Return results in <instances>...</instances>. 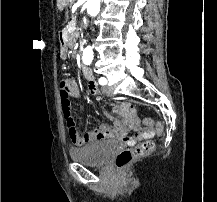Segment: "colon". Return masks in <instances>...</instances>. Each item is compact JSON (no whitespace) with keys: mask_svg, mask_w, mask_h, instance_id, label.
Listing matches in <instances>:
<instances>
[{"mask_svg":"<svg viewBox=\"0 0 217 202\" xmlns=\"http://www.w3.org/2000/svg\"><path fill=\"white\" fill-rule=\"evenodd\" d=\"M71 87L72 84L68 81L60 83V91L57 95L60 96L61 107L67 131H76L74 119L71 111ZM151 118H143L144 126H151ZM157 134H164L163 124H156ZM153 142L150 138H145L144 143H140L135 148H126L122 150L115 158V163L118 168H123L136 158L148 155L153 150Z\"/></svg>","mask_w":217,"mask_h":202,"instance_id":"1","label":"colon"}]
</instances>
